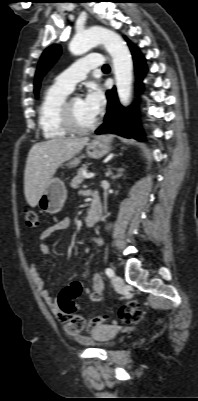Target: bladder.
I'll list each match as a JSON object with an SVG mask.
<instances>
[{
	"label": "bladder",
	"instance_id": "obj_1",
	"mask_svg": "<svg viewBox=\"0 0 198 401\" xmlns=\"http://www.w3.org/2000/svg\"><path fill=\"white\" fill-rule=\"evenodd\" d=\"M120 331L121 329L116 326H104L94 335V338L86 340L85 343L91 347L110 349L113 347L112 340Z\"/></svg>",
	"mask_w": 198,
	"mask_h": 401
}]
</instances>
